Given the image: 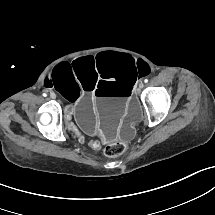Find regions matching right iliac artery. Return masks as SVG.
I'll return each instance as SVG.
<instances>
[{"label":"right iliac artery","mask_w":215,"mask_h":215,"mask_svg":"<svg viewBox=\"0 0 215 215\" xmlns=\"http://www.w3.org/2000/svg\"><path fill=\"white\" fill-rule=\"evenodd\" d=\"M43 96H44V97H46V96H47V94H46V93H43Z\"/></svg>","instance_id":"obj_1"}]
</instances>
